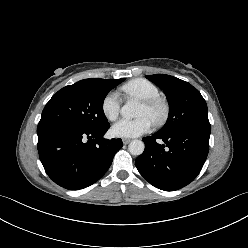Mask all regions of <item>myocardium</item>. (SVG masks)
Wrapping results in <instances>:
<instances>
[{
    "label": "myocardium",
    "instance_id": "1",
    "mask_svg": "<svg viewBox=\"0 0 248 248\" xmlns=\"http://www.w3.org/2000/svg\"><path fill=\"white\" fill-rule=\"evenodd\" d=\"M142 104L150 111L151 120L155 125H161L167 118L168 105L161 97L142 100Z\"/></svg>",
    "mask_w": 248,
    "mask_h": 248
}]
</instances>
